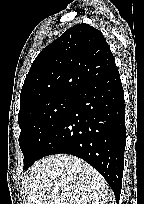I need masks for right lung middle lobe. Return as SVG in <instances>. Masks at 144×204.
I'll return each instance as SVG.
<instances>
[{"instance_id": "dd1d6c3e", "label": "right lung middle lobe", "mask_w": 144, "mask_h": 204, "mask_svg": "<svg viewBox=\"0 0 144 204\" xmlns=\"http://www.w3.org/2000/svg\"><path fill=\"white\" fill-rule=\"evenodd\" d=\"M75 94H58L19 113V145L24 154V170L39 159L41 150L67 114Z\"/></svg>"}]
</instances>
